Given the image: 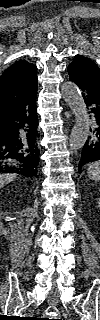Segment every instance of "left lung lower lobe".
Masks as SVG:
<instances>
[{"instance_id": "0a47b994", "label": "left lung lower lobe", "mask_w": 100, "mask_h": 320, "mask_svg": "<svg viewBox=\"0 0 100 320\" xmlns=\"http://www.w3.org/2000/svg\"><path fill=\"white\" fill-rule=\"evenodd\" d=\"M82 91L85 103L91 106L93 122L88 138L83 146L79 160V170L87 163L100 161V96L89 90L84 84L70 77Z\"/></svg>"}]
</instances>
